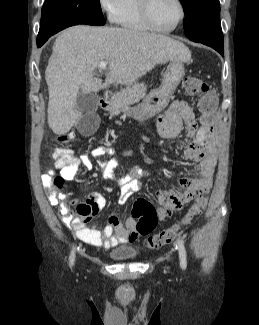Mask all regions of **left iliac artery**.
I'll use <instances>...</instances> for the list:
<instances>
[{
  "instance_id": "left-iliac-artery-1",
  "label": "left iliac artery",
  "mask_w": 259,
  "mask_h": 325,
  "mask_svg": "<svg viewBox=\"0 0 259 325\" xmlns=\"http://www.w3.org/2000/svg\"><path fill=\"white\" fill-rule=\"evenodd\" d=\"M177 246L179 250L180 265L182 269H186L187 266V255L184 247V242L181 239L177 240Z\"/></svg>"
}]
</instances>
